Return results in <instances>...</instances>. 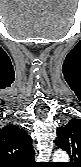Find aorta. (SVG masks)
<instances>
[{"mask_svg":"<svg viewBox=\"0 0 81 167\" xmlns=\"http://www.w3.org/2000/svg\"><path fill=\"white\" fill-rule=\"evenodd\" d=\"M54 162H68L69 156L62 150H57L53 155Z\"/></svg>","mask_w":81,"mask_h":167,"instance_id":"1","label":"aorta"}]
</instances>
